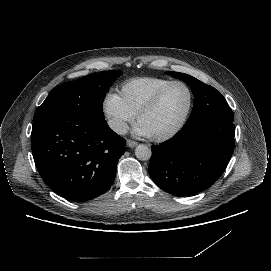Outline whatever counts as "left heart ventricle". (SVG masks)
I'll return each mask as SVG.
<instances>
[{
	"instance_id": "b2bd125f",
	"label": "left heart ventricle",
	"mask_w": 271,
	"mask_h": 271,
	"mask_svg": "<svg viewBox=\"0 0 271 271\" xmlns=\"http://www.w3.org/2000/svg\"><path fill=\"white\" fill-rule=\"evenodd\" d=\"M190 103V93L185 85L173 86L158 107L141 120L150 136L165 134L175 128L184 117Z\"/></svg>"
}]
</instances>
